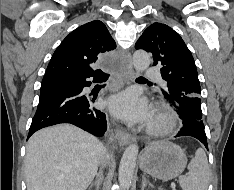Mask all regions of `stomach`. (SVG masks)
Wrapping results in <instances>:
<instances>
[{
  "instance_id": "obj_1",
  "label": "stomach",
  "mask_w": 234,
  "mask_h": 190,
  "mask_svg": "<svg viewBox=\"0 0 234 190\" xmlns=\"http://www.w3.org/2000/svg\"><path fill=\"white\" fill-rule=\"evenodd\" d=\"M187 164L185 151L170 141L150 144L140 158V169L161 180H170L181 174Z\"/></svg>"
}]
</instances>
